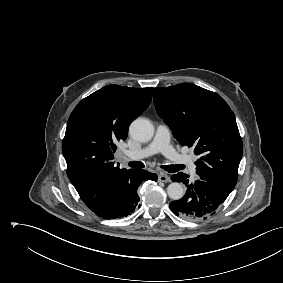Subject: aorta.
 Returning <instances> with one entry per match:
<instances>
[{
  "instance_id": "1",
  "label": "aorta",
  "mask_w": 283,
  "mask_h": 283,
  "mask_svg": "<svg viewBox=\"0 0 283 283\" xmlns=\"http://www.w3.org/2000/svg\"><path fill=\"white\" fill-rule=\"evenodd\" d=\"M129 133L131 137L137 141L148 142L154 135V126L145 118H137L130 127ZM168 196L173 200H179L184 195V189L178 182H173L167 187Z\"/></svg>"
}]
</instances>
